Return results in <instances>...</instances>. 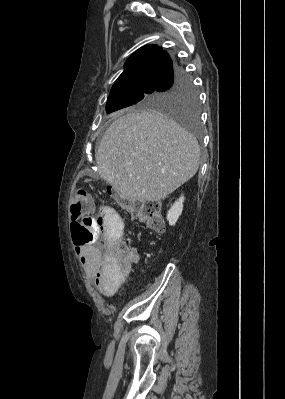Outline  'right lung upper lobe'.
Wrapping results in <instances>:
<instances>
[{
	"instance_id": "cb5924a9",
	"label": "right lung upper lobe",
	"mask_w": 285,
	"mask_h": 399,
	"mask_svg": "<svg viewBox=\"0 0 285 399\" xmlns=\"http://www.w3.org/2000/svg\"><path fill=\"white\" fill-rule=\"evenodd\" d=\"M172 64L165 50L157 45H145L127 59L125 69L114 83L110 95L158 88Z\"/></svg>"
}]
</instances>
